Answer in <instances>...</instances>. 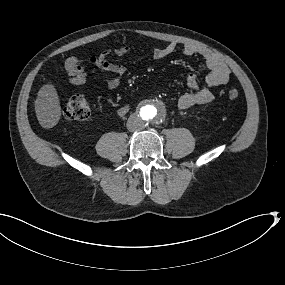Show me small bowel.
I'll list each match as a JSON object with an SVG mask.
<instances>
[{"mask_svg":"<svg viewBox=\"0 0 285 285\" xmlns=\"http://www.w3.org/2000/svg\"><path fill=\"white\" fill-rule=\"evenodd\" d=\"M178 45L176 43H169L164 47H153L150 50L151 59H162L172 53L176 52ZM131 48L129 46H119L113 53L116 56H124L130 53ZM181 52L187 56H199L201 57L208 73L205 77V84L200 86L195 75L190 74L187 77V85L189 91L178 99V107L182 110L188 109L196 105H204L214 100L213 89L227 83L230 75V71L227 65L214 53L206 48L199 47L194 44H184L181 46ZM111 51L105 50L101 52L97 57L91 59V63L97 66L104 74L106 85L109 89H116L126 74V67L121 64L113 63L109 60Z\"/></svg>","mask_w":285,"mask_h":285,"instance_id":"obj_1","label":"small bowel"}]
</instances>
